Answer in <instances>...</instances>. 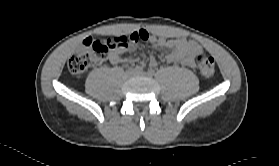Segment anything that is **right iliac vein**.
<instances>
[{"label":"right iliac vein","instance_id":"1","mask_svg":"<svg viewBox=\"0 0 279 166\" xmlns=\"http://www.w3.org/2000/svg\"><path fill=\"white\" fill-rule=\"evenodd\" d=\"M136 70H129L128 72H127V75L128 76H132V75H135L136 74Z\"/></svg>","mask_w":279,"mask_h":166}]
</instances>
